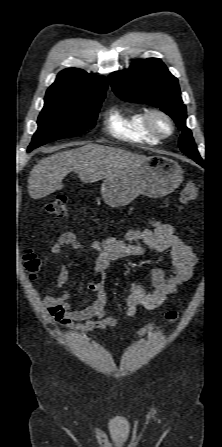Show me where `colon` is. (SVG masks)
<instances>
[{"mask_svg":"<svg viewBox=\"0 0 222 447\" xmlns=\"http://www.w3.org/2000/svg\"><path fill=\"white\" fill-rule=\"evenodd\" d=\"M197 187L194 183H188L182 190L180 195V203L187 204L197 197ZM45 211L57 218H65L69 215L68 199L66 196H59L50 201L45 206ZM24 264L26 270L30 273L31 277H35L44 267L45 259L34 252L28 250L24 254ZM180 310H170L165 314V323L174 324L180 318ZM154 330L153 326L148 327L144 332H150Z\"/></svg>","mask_w":222,"mask_h":447,"instance_id":"obj_1","label":"colon"}]
</instances>
